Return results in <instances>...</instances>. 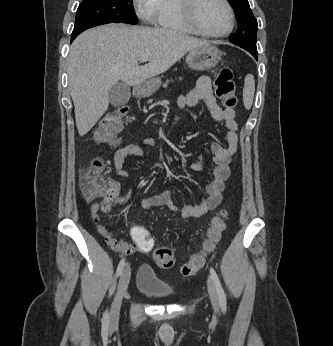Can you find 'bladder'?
Instances as JSON below:
<instances>
[{
  "instance_id": "1",
  "label": "bladder",
  "mask_w": 333,
  "mask_h": 346,
  "mask_svg": "<svg viewBox=\"0 0 333 346\" xmlns=\"http://www.w3.org/2000/svg\"><path fill=\"white\" fill-rule=\"evenodd\" d=\"M136 286L142 293L156 299H165L174 294L172 287L148 265H142L139 268Z\"/></svg>"
}]
</instances>
